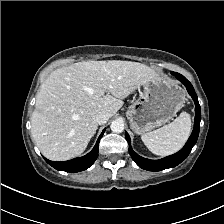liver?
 <instances>
[{
	"label": "liver",
	"instance_id": "liver-1",
	"mask_svg": "<svg viewBox=\"0 0 224 224\" xmlns=\"http://www.w3.org/2000/svg\"><path fill=\"white\" fill-rule=\"evenodd\" d=\"M153 69L131 61H82L54 70L37 94L31 133L41 153L53 161L79 156L94 136L96 115L110 117L123 99L155 78Z\"/></svg>",
	"mask_w": 224,
	"mask_h": 224
}]
</instances>
